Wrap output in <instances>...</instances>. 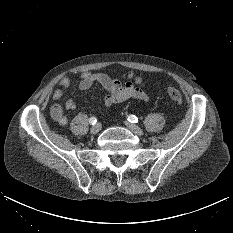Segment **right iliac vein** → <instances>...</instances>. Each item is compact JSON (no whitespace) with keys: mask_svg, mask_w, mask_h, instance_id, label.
<instances>
[{"mask_svg":"<svg viewBox=\"0 0 233 233\" xmlns=\"http://www.w3.org/2000/svg\"><path fill=\"white\" fill-rule=\"evenodd\" d=\"M101 130V124L100 123H96L94 124L91 129H90V132L92 134H97L99 131Z\"/></svg>","mask_w":233,"mask_h":233,"instance_id":"63e3f726","label":"right iliac vein"}]
</instances>
